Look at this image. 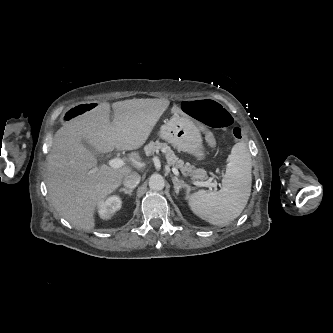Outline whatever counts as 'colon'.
<instances>
[{
    "label": "colon",
    "instance_id": "obj_1",
    "mask_svg": "<svg viewBox=\"0 0 333 333\" xmlns=\"http://www.w3.org/2000/svg\"><path fill=\"white\" fill-rule=\"evenodd\" d=\"M97 107L98 104L96 102L76 106L65 114V120L70 121L79 114ZM182 108L189 113V116L202 122L207 127L228 129V134L238 141L243 140L245 137L243 130L237 124H234L232 116L213 100L205 99L184 102Z\"/></svg>",
    "mask_w": 333,
    "mask_h": 333
}]
</instances>
